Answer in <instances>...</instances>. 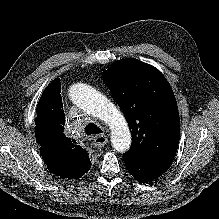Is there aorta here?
<instances>
[{
    "instance_id": "1",
    "label": "aorta",
    "mask_w": 219,
    "mask_h": 219,
    "mask_svg": "<svg viewBox=\"0 0 219 219\" xmlns=\"http://www.w3.org/2000/svg\"><path fill=\"white\" fill-rule=\"evenodd\" d=\"M71 101L92 116L103 121L111 130V142L118 152H126L131 145V133L120 109L95 88L76 83L69 89Z\"/></svg>"
}]
</instances>
